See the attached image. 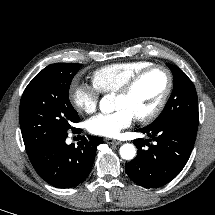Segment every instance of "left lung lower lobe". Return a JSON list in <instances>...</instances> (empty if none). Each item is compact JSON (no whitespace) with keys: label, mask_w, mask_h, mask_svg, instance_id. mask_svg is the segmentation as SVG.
<instances>
[{"label":"left lung lower lobe","mask_w":215,"mask_h":215,"mask_svg":"<svg viewBox=\"0 0 215 215\" xmlns=\"http://www.w3.org/2000/svg\"><path fill=\"white\" fill-rule=\"evenodd\" d=\"M155 141L134 140L138 151L125 166L128 176L145 188L160 187L173 180L187 163L193 149L197 128L179 122L148 125L138 129ZM147 145L148 147H145Z\"/></svg>","instance_id":"obj_1"}]
</instances>
